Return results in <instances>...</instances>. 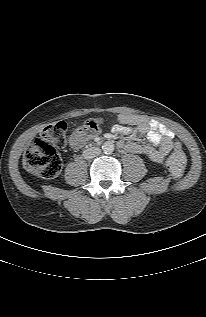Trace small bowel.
<instances>
[{
	"instance_id": "obj_1",
	"label": "small bowel",
	"mask_w": 206,
	"mask_h": 317,
	"mask_svg": "<svg viewBox=\"0 0 206 317\" xmlns=\"http://www.w3.org/2000/svg\"><path fill=\"white\" fill-rule=\"evenodd\" d=\"M133 126L141 134H145L151 145L141 146L136 142H120V145L132 153L143 154L151 161L161 163L172 150H180L181 145L175 139L174 133L163 124L151 120L142 115L122 113L118 116V124L112 126L114 133L124 134L131 138H136ZM83 140L71 137L70 144L73 148H80Z\"/></svg>"
}]
</instances>
